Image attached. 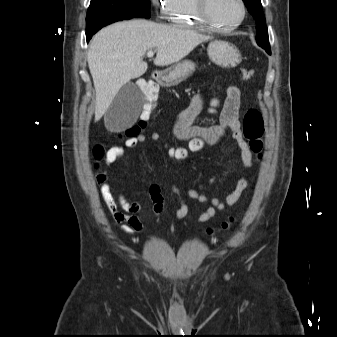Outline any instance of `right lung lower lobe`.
Listing matches in <instances>:
<instances>
[{"label": "right lung lower lobe", "instance_id": "obj_1", "mask_svg": "<svg viewBox=\"0 0 337 337\" xmlns=\"http://www.w3.org/2000/svg\"><path fill=\"white\" fill-rule=\"evenodd\" d=\"M134 18L132 16H126V15H111V16H105L101 17L97 20H94L87 24L86 28V40L87 42L91 39L92 35H94L98 30H100L102 27L111 24L116 21L120 20H126Z\"/></svg>", "mask_w": 337, "mask_h": 337}]
</instances>
